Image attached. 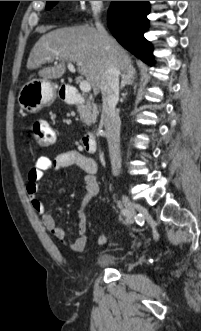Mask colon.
<instances>
[{"instance_id":"1","label":"colon","mask_w":201,"mask_h":331,"mask_svg":"<svg viewBox=\"0 0 201 331\" xmlns=\"http://www.w3.org/2000/svg\"><path fill=\"white\" fill-rule=\"evenodd\" d=\"M31 135L39 147L53 144L55 133L46 120H36L31 127Z\"/></svg>"}]
</instances>
